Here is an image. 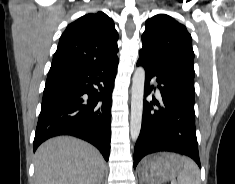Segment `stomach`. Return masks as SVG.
<instances>
[{
	"label": "stomach",
	"mask_w": 235,
	"mask_h": 184,
	"mask_svg": "<svg viewBox=\"0 0 235 184\" xmlns=\"http://www.w3.org/2000/svg\"><path fill=\"white\" fill-rule=\"evenodd\" d=\"M183 166L184 162L179 154L160 152L158 156L142 162L138 168L139 178L146 184H164L175 180V176L181 172Z\"/></svg>",
	"instance_id": "1"
}]
</instances>
